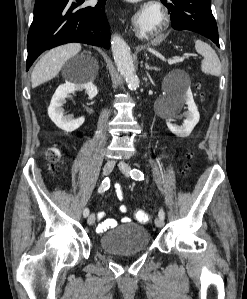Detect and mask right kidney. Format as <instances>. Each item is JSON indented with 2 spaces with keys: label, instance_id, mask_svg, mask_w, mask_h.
<instances>
[{
  "label": "right kidney",
  "instance_id": "right-kidney-1",
  "mask_svg": "<svg viewBox=\"0 0 247 299\" xmlns=\"http://www.w3.org/2000/svg\"><path fill=\"white\" fill-rule=\"evenodd\" d=\"M85 90L90 99L96 97L98 94L97 87L93 84V81H85L82 83L66 82L61 84L55 91L50 106L48 107V115L52 122L65 132H72L78 129L85 121L83 117L74 119L70 115H64V109L62 108L65 103V98L68 94L75 91Z\"/></svg>",
  "mask_w": 247,
  "mask_h": 299
}]
</instances>
